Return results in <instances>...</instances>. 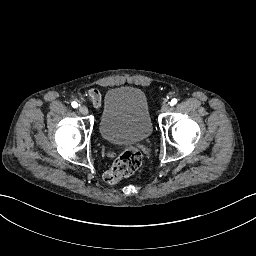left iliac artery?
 I'll use <instances>...</instances> for the list:
<instances>
[{"label":"left iliac artery","mask_w":256,"mask_h":256,"mask_svg":"<svg viewBox=\"0 0 256 256\" xmlns=\"http://www.w3.org/2000/svg\"><path fill=\"white\" fill-rule=\"evenodd\" d=\"M176 103H177V99L174 98V99L171 100L170 105L173 106V105H175Z\"/></svg>","instance_id":"obj_1"}]
</instances>
